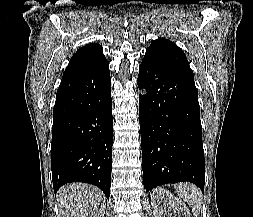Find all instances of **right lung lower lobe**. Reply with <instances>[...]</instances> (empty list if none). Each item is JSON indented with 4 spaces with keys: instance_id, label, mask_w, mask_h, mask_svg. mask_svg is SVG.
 I'll return each mask as SVG.
<instances>
[{
    "instance_id": "98d812e1",
    "label": "right lung lower lobe",
    "mask_w": 253,
    "mask_h": 217,
    "mask_svg": "<svg viewBox=\"0 0 253 217\" xmlns=\"http://www.w3.org/2000/svg\"><path fill=\"white\" fill-rule=\"evenodd\" d=\"M106 61L61 81L53 109L51 168L54 191L69 182L99 187L109 199L113 117Z\"/></svg>"
}]
</instances>
